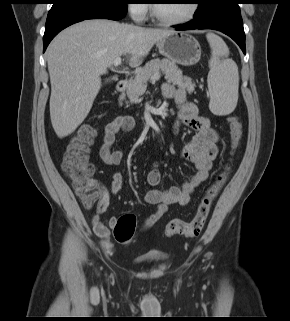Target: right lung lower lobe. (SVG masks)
I'll return each mask as SVG.
<instances>
[{"instance_id": "1", "label": "right lung lower lobe", "mask_w": 290, "mask_h": 321, "mask_svg": "<svg viewBox=\"0 0 290 321\" xmlns=\"http://www.w3.org/2000/svg\"><path fill=\"white\" fill-rule=\"evenodd\" d=\"M127 13V8L87 10L74 7H61L51 9L48 13L45 33L43 37V50L50 41L64 28L85 19H111L120 20Z\"/></svg>"}]
</instances>
